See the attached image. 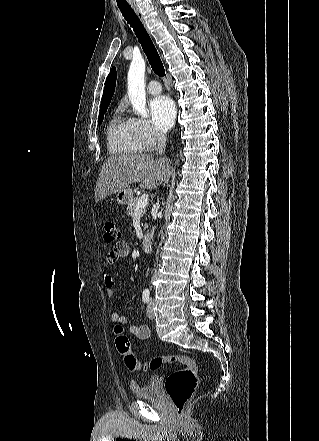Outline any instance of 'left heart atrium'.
Here are the masks:
<instances>
[{
    "instance_id": "left-heart-atrium-1",
    "label": "left heart atrium",
    "mask_w": 319,
    "mask_h": 441,
    "mask_svg": "<svg viewBox=\"0 0 319 441\" xmlns=\"http://www.w3.org/2000/svg\"><path fill=\"white\" fill-rule=\"evenodd\" d=\"M149 107L154 127L160 132L168 131L175 119L174 102L168 96L160 95L150 101Z\"/></svg>"
}]
</instances>
